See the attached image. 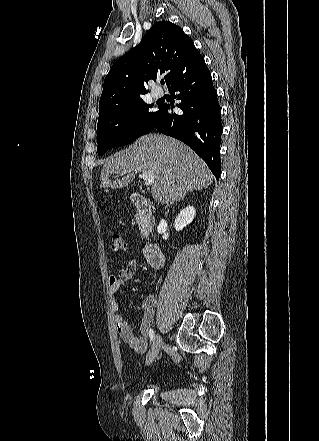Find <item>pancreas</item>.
Wrapping results in <instances>:
<instances>
[{
  "label": "pancreas",
  "mask_w": 319,
  "mask_h": 441,
  "mask_svg": "<svg viewBox=\"0 0 319 441\" xmlns=\"http://www.w3.org/2000/svg\"><path fill=\"white\" fill-rule=\"evenodd\" d=\"M137 224L139 226V230L144 238L148 235V228L146 225V220L141 215L137 217Z\"/></svg>",
  "instance_id": "cf45deb5"
}]
</instances>
